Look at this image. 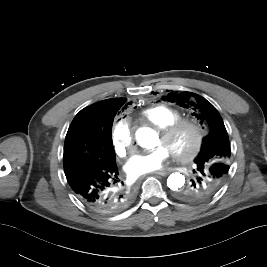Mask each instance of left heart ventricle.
Segmentation results:
<instances>
[{
	"label": "left heart ventricle",
	"mask_w": 267,
	"mask_h": 267,
	"mask_svg": "<svg viewBox=\"0 0 267 267\" xmlns=\"http://www.w3.org/2000/svg\"><path fill=\"white\" fill-rule=\"evenodd\" d=\"M194 136L195 134L193 129L188 126H184L168 139H163L159 136L156 145L164 146L169 152L175 150L185 153L191 148Z\"/></svg>",
	"instance_id": "1"
}]
</instances>
